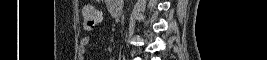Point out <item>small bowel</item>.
I'll return each instance as SVG.
<instances>
[{
    "mask_svg": "<svg viewBox=\"0 0 267 60\" xmlns=\"http://www.w3.org/2000/svg\"><path fill=\"white\" fill-rule=\"evenodd\" d=\"M88 38L87 37H84V38H82V40H81V43H82V45H87L88 44Z\"/></svg>",
    "mask_w": 267,
    "mask_h": 60,
    "instance_id": "c3829d8e",
    "label": "small bowel"
}]
</instances>
